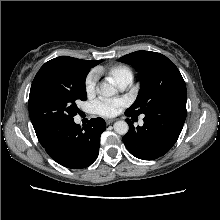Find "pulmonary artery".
I'll list each match as a JSON object with an SVG mask.
<instances>
[{
	"instance_id": "pulmonary-artery-1",
	"label": "pulmonary artery",
	"mask_w": 220,
	"mask_h": 220,
	"mask_svg": "<svg viewBox=\"0 0 220 220\" xmlns=\"http://www.w3.org/2000/svg\"><path fill=\"white\" fill-rule=\"evenodd\" d=\"M131 83V80L129 79H125V80H122L120 81L118 84H117V87L120 89V90H124L127 88V86ZM142 122V120H141Z\"/></svg>"
}]
</instances>
